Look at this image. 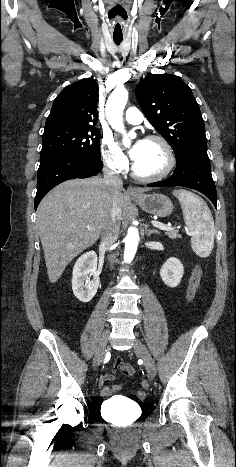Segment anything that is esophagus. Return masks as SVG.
I'll return each instance as SVG.
<instances>
[{
	"label": "esophagus",
	"instance_id": "esophagus-1",
	"mask_svg": "<svg viewBox=\"0 0 236 467\" xmlns=\"http://www.w3.org/2000/svg\"><path fill=\"white\" fill-rule=\"evenodd\" d=\"M127 193L129 195H135V196L142 195V192L133 185H129L127 187Z\"/></svg>",
	"mask_w": 236,
	"mask_h": 467
}]
</instances>
